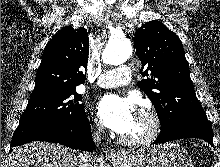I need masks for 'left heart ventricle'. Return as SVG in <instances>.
Instances as JSON below:
<instances>
[{
    "instance_id": "obj_1",
    "label": "left heart ventricle",
    "mask_w": 220,
    "mask_h": 167,
    "mask_svg": "<svg viewBox=\"0 0 220 167\" xmlns=\"http://www.w3.org/2000/svg\"><path fill=\"white\" fill-rule=\"evenodd\" d=\"M148 128H149V119L146 116L141 115L137 112L135 114V118L132 126L123 135L130 138L140 137L146 133Z\"/></svg>"
}]
</instances>
